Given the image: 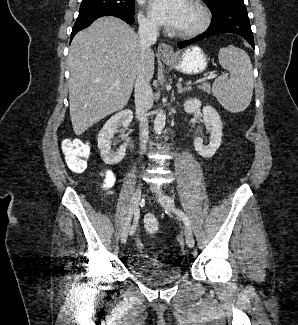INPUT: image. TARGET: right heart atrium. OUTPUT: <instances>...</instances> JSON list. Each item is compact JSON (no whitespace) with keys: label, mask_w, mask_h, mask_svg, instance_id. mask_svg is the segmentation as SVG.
<instances>
[{"label":"right heart atrium","mask_w":298,"mask_h":325,"mask_svg":"<svg viewBox=\"0 0 298 325\" xmlns=\"http://www.w3.org/2000/svg\"><path fill=\"white\" fill-rule=\"evenodd\" d=\"M140 25L142 30H157L152 20L144 14H141L140 16Z\"/></svg>","instance_id":"d8ad5b80"}]
</instances>
